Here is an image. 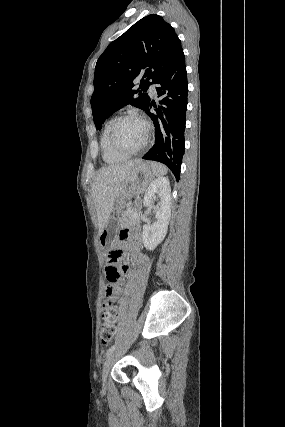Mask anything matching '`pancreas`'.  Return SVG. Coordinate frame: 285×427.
<instances>
[{
	"instance_id": "cf45deb5",
	"label": "pancreas",
	"mask_w": 285,
	"mask_h": 427,
	"mask_svg": "<svg viewBox=\"0 0 285 427\" xmlns=\"http://www.w3.org/2000/svg\"><path fill=\"white\" fill-rule=\"evenodd\" d=\"M137 211V208H131L130 206L126 207V210L124 212V216L122 217L120 224L121 225H126L129 223L134 222L135 220H137V216L134 215V213Z\"/></svg>"
}]
</instances>
